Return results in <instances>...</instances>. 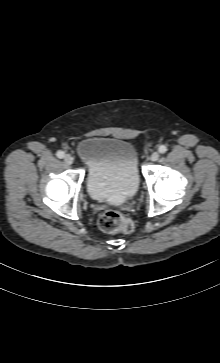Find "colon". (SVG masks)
I'll return each instance as SVG.
<instances>
[{"label": "colon", "instance_id": "obj_1", "mask_svg": "<svg viewBox=\"0 0 220 363\" xmlns=\"http://www.w3.org/2000/svg\"><path fill=\"white\" fill-rule=\"evenodd\" d=\"M99 227L107 233L130 234L134 230L133 221L116 210H107L98 219Z\"/></svg>", "mask_w": 220, "mask_h": 363}]
</instances>
